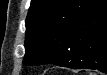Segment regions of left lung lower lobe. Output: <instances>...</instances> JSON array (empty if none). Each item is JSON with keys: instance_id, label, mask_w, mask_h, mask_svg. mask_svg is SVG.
I'll return each mask as SVG.
<instances>
[{"instance_id": "0a47b994", "label": "left lung lower lobe", "mask_w": 107, "mask_h": 75, "mask_svg": "<svg viewBox=\"0 0 107 75\" xmlns=\"http://www.w3.org/2000/svg\"><path fill=\"white\" fill-rule=\"evenodd\" d=\"M78 22L76 38L52 51L56 65L107 73V0H96Z\"/></svg>"}]
</instances>
